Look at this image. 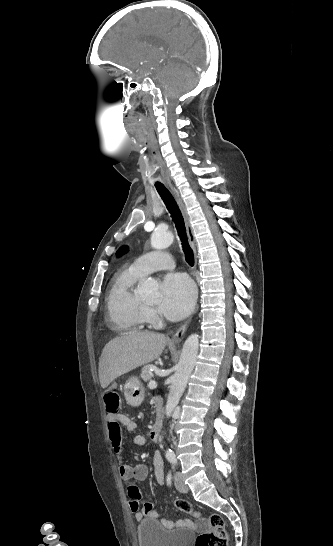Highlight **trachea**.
<instances>
[{"mask_svg":"<svg viewBox=\"0 0 333 546\" xmlns=\"http://www.w3.org/2000/svg\"><path fill=\"white\" fill-rule=\"evenodd\" d=\"M155 187L161 196L162 200L164 201L169 213L171 214V217L175 223L178 236L180 237L182 248L185 254L186 262L190 266H194V254L193 250L191 249L188 239L186 236V229H185V223L182 216V213L174 200L171 193L166 189V187L163 184H155Z\"/></svg>","mask_w":333,"mask_h":546,"instance_id":"3493384b","label":"trachea"}]
</instances>
